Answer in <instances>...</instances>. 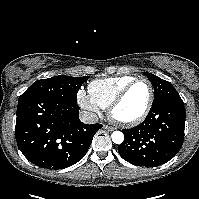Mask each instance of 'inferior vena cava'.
I'll list each match as a JSON object with an SVG mask.
<instances>
[{
  "label": "inferior vena cava",
  "mask_w": 199,
  "mask_h": 199,
  "mask_svg": "<svg viewBox=\"0 0 199 199\" xmlns=\"http://www.w3.org/2000/svg\"><path fill=\"white\" fill-rule=\"evenodd\" d=\"M80 120L85 124H94L98 122V116L93 112L83 111Z\"/></svg>",
  "instance_id": "obj_1"
}]
</instances>
